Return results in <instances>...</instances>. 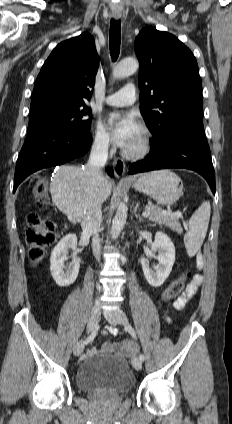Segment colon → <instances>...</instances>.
<instances>
[{
  "mask_svg": "<svg viewBox=\"0 0 232 424\" xmlns=\"http://www.w3.org/2000/svg\"><path fill=\"white\" fill-rule=\"evenodd\" d=\"M32 196L39 204L46 203L49 199L48 191L43 177H35L29 184ZM55 234L51 221L44 219L39 214L31 212L27 216L26 243L28 246V255L32 263H39L47 249L54 243ZM190 270L186 269L173 280L170 285L163 291L161 301L163 303L174 299L184 288L185 282L190 277ZM133 347V342L122 339L118 343V348L128 350Z\"/></svg>",
  "mask_w": 232,
  "mask_h": 424,
  "instance_id": "obj_1",
  "label": "colon"
}]
</instances>
